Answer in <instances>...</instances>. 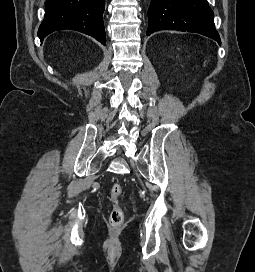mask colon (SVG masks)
<instances>
[{"label":"colon","instance_id":"1","mask_svg":"<svg viewBox=\"0 0 255 272\" xmlns=\"http://www.w3.org/2000/svg\"><path fill=\"white\" fill-rule=\"evenodd\" d=\"M122 194V185L114 183L110 188V197L112 201V208L109 214V222L113 227H119L124 223V212L119 204V197Z\"/></svg>","mask_w":255,"mask_h":272}]
</instances>
